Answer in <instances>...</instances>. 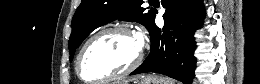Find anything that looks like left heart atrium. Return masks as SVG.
<instances>
[{"label":"left heart atrium","instance_id":"39dd6f15","mask_svg":"<svg viewBox=\"0 0 260 84\" xmlns=\"http://www.w3.org/2000/svg\"><path fill=\"white\" fill-rule=\"evenodd\" d=\"M137 40L139 42V44L142 46L146 40V34L144 31H141L137 34Z\"/></svg>","mask_w":260,"mask_h":84}]
</instances>
